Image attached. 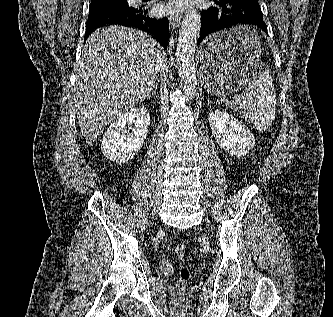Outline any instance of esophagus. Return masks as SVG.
I'll return each instance as SVG.
<instances>
[{"label": "esophagus", "mask_w": 333, "mask_h": 317, "mask_svg": "<svg viewBox=\"0 0 333 317\" xmlns=\"http://www.w3.org/2000/svg\"><path fill=\"white\" fill-rule=\"evenodd\" d=\"M181 20V14L180 13H172L169 15V23L173 28H176Z\"/></svg>", "instance_id": "esophagus-1"}]
</instances>
